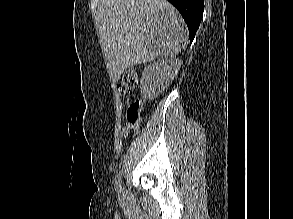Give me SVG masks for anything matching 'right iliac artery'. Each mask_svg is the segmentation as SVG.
Returning <instances> with one entry per match:
<instances>
[{
	"mask_svg": "<svg viewBox=\"0 0 293 219\" xmlns=\"http://www.w3.org/2000/svg\"><path fill=\"white\" fill-rule=\"evenodd\" d=\"M120 180H121V171L117 174V177H116V190L118 194L122 193V186H121Z\"/></svg>",
	"mask_w": 293,
	"mask_h": 219,
	"instance_id": "1",
	"label": "right iliac artery"
}]
</instances>
